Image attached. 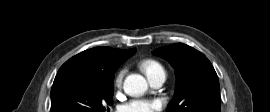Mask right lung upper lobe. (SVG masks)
<instances>
[{
  "label": "right lung upper lobe",
  "instance_id": "obj_1",
  "mask_svg": "<svg viewBox=\"0 0 270 112\" xmlns=\"http://www.w3.org/2000/svg\"><path fill=\"white\" fill-rule=\"evenodd\" d=\"M135 52V48L122 50L96 47L73 56L61 66V69L76 68L111 75L115 73L121 63Z\"/></svg>",
  "mask_w": 270,
  "mask_h": 112
}]
</instances>
